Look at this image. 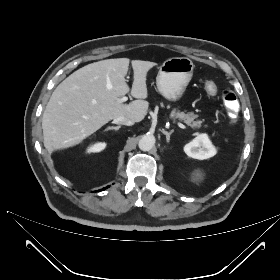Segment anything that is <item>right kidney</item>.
Here are the masks:
<instances>
[{"instance_id": "right-kidney-1", "label": "right kidney", "mask_w": 280, "mask_h": 280, "mask_svg": "<svg viewBox=\"0 0 280 280\" xmlns=\"http://www.w3.org/2000/svg\"><path fill=\"white\" fill-rule=\"evenodd\" d=\"M106 147V143L104 142H98V143H95L93 145H90L88 148H87V152L88 153H95V152H100L102 150H104Z\"/></svg>"}]
</instances>
